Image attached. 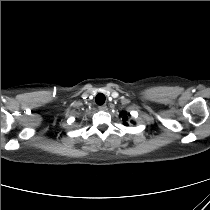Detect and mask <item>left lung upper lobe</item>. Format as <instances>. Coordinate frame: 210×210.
<instances>
[{
    "label": "left lung upper lobe",
    "mask_w": 210,
    "mask_h": 210,
    "mask_svg": "<svg viewBox=\"0 0 210 210\" xmlns=\"http://www.w3.org/2000/svg\"><path fill=\"white\" fill-rule=\"evenodd\" d=\"M122 114H125V112H123ZM123 119L126 120L127 116H124ZM125 125H127V123H125Z\"/></svg>",
    "instance_id": "left-lung-upper-lobe-1"
}]
</instances>
